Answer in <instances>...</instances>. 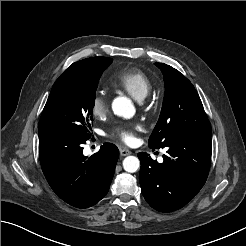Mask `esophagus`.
<instances>
[{"instance_id": "1", "label": "esophagus", "mask_w": 246, "mask_h": 246, "mask_svg": "<svg viewBox=\"0 0 246 246\" xmlns=\"http://www.w3.org/2000/svg\"><path fill=\"white\" fill-rule=\"evenodd\" d=\"M131 154V151L130 150H128V149H126V148H122V149H120V155L121 156H127V155H130Z\"/></svg>"}]
</instances>
